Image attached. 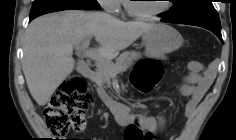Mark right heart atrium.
Listing matches in <instances>:
<instances>
[{"instance_id":"obj_1","label":"right heart atrium","mask_w":236,"mask_h":140,"mask_svg":"<svg viewBox=\"0 0 236 140\" xmlns=\"http://www.w3.org/2000/svg\"><path fill=\"white\" fill-rule=\"evenodd\" d=\"M99 3L108 13H118L120 11L119 0H99Z\"/></svg>"}]
</instances>
